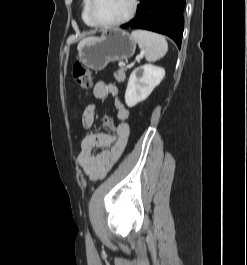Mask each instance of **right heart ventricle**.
Returning a JSON list of instances; mask_svg holds the SVG:
<instances>
[{
	"instance_id": "1",
	"label": "right heart ventricle",
	"mask_w": 247,
	"mask_h": 265,
	"mask_svg": "<svg viewBox=\"0 0 247 265\" xmlns=\"http://www.w3.org/2000/svg\"><path fill=\"white\" fill-rule=\"evenodd\" d=\"M89 0H82L81 17L84 23L89 27H94L88 14Z\"/></svg>"
}]
</instances>
